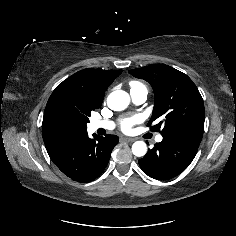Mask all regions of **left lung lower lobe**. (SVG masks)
Instances as JSON below:
<instances>
[{"instance_id": "1", "label": "left lung lower lobe", "mask_w": 236, "mask_h": 236, "mask_svg": "<svg viewBox=\"0 0 236 236\" xmlns=\"http://www.w3.org/2000/svg\"><path fill=\"white\" fill-rule=\"evenodd\" d=\"M203 133H177L163 136L160 143L138 161L149 177L157 180L174 178L183 172L194 159Z\"/></svg>"}]
</instances>
